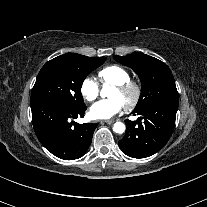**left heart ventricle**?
Returning <instances> with one entry per match:
<instances>
[{
  "label": "left heart ventricle",
  "mask_w": 207,
  "mask_h": 207,
  "mask_svg": "<svg viewBox=\"0 0 207 207\" xmlns=\"http://www.w3.org/2000/svg\"><path fill=\"white\" fill-rule=\"evenodd\" d=\"M112 97L114 98H120L125 102V99L123 97H121V95L119 94V92L117 91V89H114L113 93H112Z\"/></svg>",
  "instance_id": "obj_1"
}]
</instances>
